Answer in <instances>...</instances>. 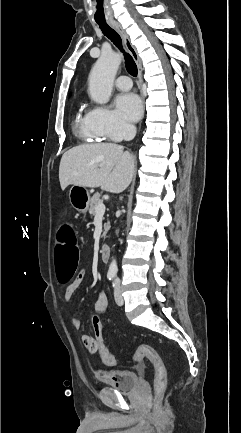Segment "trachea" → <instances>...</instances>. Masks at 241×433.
<instances>
[{"instance_id":"3493384b","label":"trachea","mask_w":241,"mask_h":433,"mask_svg":"<svg viewBox=\"0 0 241 433\" xmlns=\"http://www.w3.org/2000/svg\"><path fill=\"white\" fill-rule=\"evenodd\" d=\"M93 7L94 9H96L94 11L93 22L97 26H99L102 33L108 39H110L120 49L121 52H123L127 71L130 75L136 77L138 73V68L135 61L133 60L131 55L124 51L120 35L106 23L105 14L103 13L105 7L104 4L96 3Z\"/></svg>"}]
</instances>
